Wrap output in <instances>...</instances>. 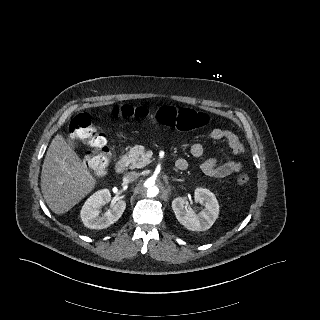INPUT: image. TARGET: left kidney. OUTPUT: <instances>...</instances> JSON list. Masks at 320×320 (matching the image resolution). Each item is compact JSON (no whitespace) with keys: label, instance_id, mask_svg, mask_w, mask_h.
I'll use <instances>...</instances> for the list:
<instances>
[{"label":"left kidney","instance_id":"5707ae66","mask_svg":"<svg viewBox=\"0 0 320 320\" xmlns=\"http://www.w3.org/2000/svg\"><path fill=\"white\" fill-rule=\"evenodd\" d=\"M195 201L205 205L196 214L188 207L187 197H177L172 201V209L177 220L191 231L208 230L216 221L219 214V204L215 195L208 189L197 188L194 193Z\"/></svg>","mask_w":320,"mask_h":320}]
</instances>
